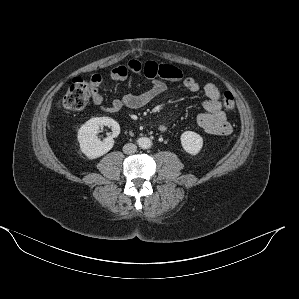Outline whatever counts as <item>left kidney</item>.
<instances>
[{"label": "left kidney", "mask_w": 299, "mask_h": 299, "mask_svg": "<svg viewBox=\"0 0 299 299\" xmlns=\"http://www.w3.org/2000/svg\"><path fill=\"white\" fill-rule=\"evenodd\" d=\"M180 140L183 149L191 155L198 154L203 147L202 137L192 131L182 133Z\"/></svg>", "instance_id": "5707ae66"}]
</instances>
